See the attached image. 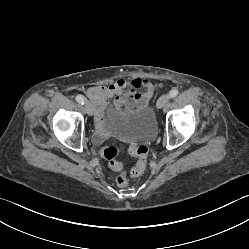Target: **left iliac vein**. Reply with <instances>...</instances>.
<instances>
[{
	"instance_id": "obj_1",
	"label": "left iliac vein",
	"mask_w": 249,
	"mask_h": 249,
	"mask_svg": "<svg viewBox=\"0 0 249 249\" xmlns=\"http://www.w3.org/2000/svg\"><path fill=\"white\" fill-rule=\"evenodd\" d=\"M170 96L168 94L162 95L157 101V108H163L169 102Z\"/></svg>"
}]
</instances>
